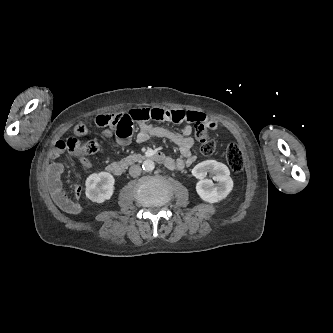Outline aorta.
<instances>
[{
  "label": "aorta",
  "instance_id": "762f6f07",
  "mask_svg": "<svg viewBox=\"0 0 333 333\" xmlns=\"http://www.w3.org/2000/svg\"><path fill=\"white\" fill-rule=\"evenodd\" d=\"M142 168L145 172H151L155 168V163L152 160L147 159L143 162Z\"/></svg>",
  "mask_w": 333,
  "mask_h": 333
}]
</instances>
